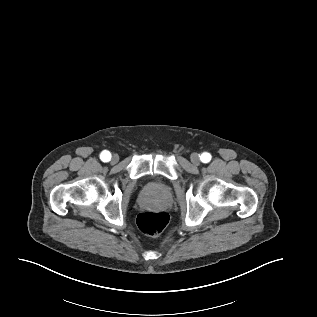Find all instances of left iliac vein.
Wrapping results in <instances>:
<instances>
[{
    "mask_svg": "<svg viewBox=\"0 0 317 317\" xmlns=\"http://www.w3.org/2000/svg\"><path fill=\"white\" fill-rule=\"evenodd\" d=\"M190 159H191V162L195 166H198L200 164V158H199V155L197 153H192Z\"/></svg>",
    "mask_w": 317,
    "mask_h": 317,
    "instance_id": "1",
    "label": "left iliac vein"
}]
</instances>
